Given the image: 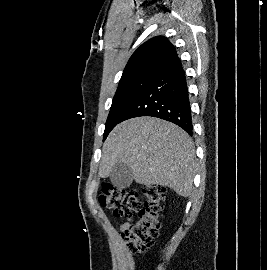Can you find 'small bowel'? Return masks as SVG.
Instances as JSON below:
<instances>
[{
  "instance_id": "obj_1",
  "label": "small bowel",
  "mask_w": 267,
  "mask_h": 270,
  "mask_svg": "<svg viewBox=\"0 0 267 270\" xmlns=\"http://www.w3.org/2000/svg\"><path fill=\"white\" fill-rule=\"evenodd\" d=\"M129 222H126L124 223L122 226H121V229L123 230L127 225H128Z\"/></svg>"
}]
</instances>
